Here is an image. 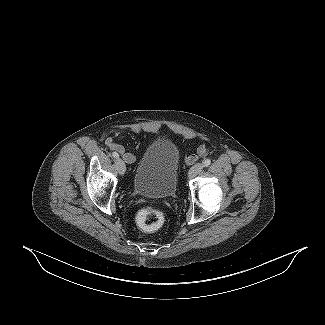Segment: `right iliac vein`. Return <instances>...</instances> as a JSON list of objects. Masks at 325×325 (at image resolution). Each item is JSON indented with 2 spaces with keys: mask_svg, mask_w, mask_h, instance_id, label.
Masks as SVG:
<instances>
[{
  "mask_svg": "<svg viewBox=\"0 0 325 325\" xmlns=\"http://www.w3.org/2000/svg\"><path fill=\"white\" fill-rule=\"evenodd\" d=\"M116 166H117L119 173L121 175H123L126 171V165H125L124 161L122 159L118 158L116 160Z\"/></svg>",
  "mask_w": 325,
  "mask_h": 325,
  "instance_id": "obj_1",
  "label": "right iliac vein"
}]
</instances>
